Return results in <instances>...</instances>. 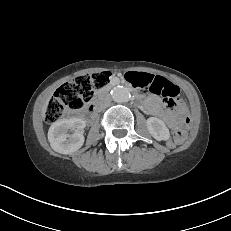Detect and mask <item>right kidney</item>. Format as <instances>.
Segmentation results:
<instances>
[{
    "mask_svg": "<svg viewBox=\"0 0 231 231\" xmlns=\"http://www.w3.org/2000/svg\"><path fill=\"white\" fill-rule=\"evenodd\" d=\"M85 121L79 118L57 120L52 123L48 131V140L52 149L61 154L77 151L84 144L83 130ZM73 130L69 135L67 132Z\"/></svg>",
    "mask_w": 231,
    "mask_h": 231,
    "instance_id": "ca27d5eb",
    "label": "right kidney"
}]
</instances>
